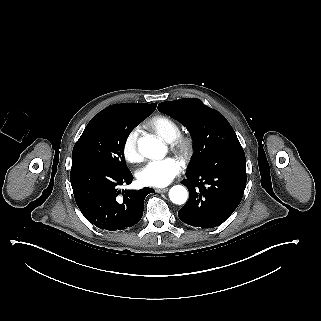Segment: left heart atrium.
Returning <instances> with one entry per match:
<instances>
[{"instance_id":"1","label":"left heart atrium","mask_w":321,"mask_h":321,"mask_svg":"<svg viewBox=\"0 0 321 321\" xmlns=\"http://www.w3.org/2000/svg\"><path fill=\"white\" fill-rule=\"evenodd\" d=\"M183 162L177 157H165L148 162L137 173L141 184L153 187H163L170 184L183 170Z\"/></svg>"}]
</instances>
